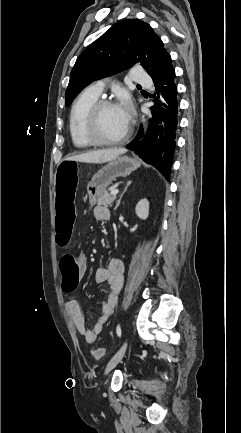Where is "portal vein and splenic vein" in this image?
<instances>
[{
	"instance_id": "portal-vein-and-splenic-vein-1",
	"label": "portal vein and splenic vein",
	"mask_w": 241,
	"mask_h": 433,
	"mask_svg": "<svg viewBox=\"0 0 241 433\" xmlns=\"http://www.w3.org/2000/svg\"><path fill=\"white\" fill-rule=\"evenodd\" d=\"M118 192H119L118 189H114V190L111 191V195L115 196L116 194H118Z\"/></svg>"
}]
</instances>
